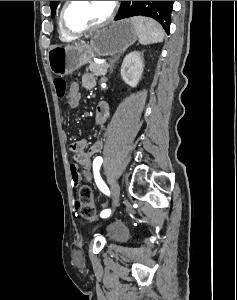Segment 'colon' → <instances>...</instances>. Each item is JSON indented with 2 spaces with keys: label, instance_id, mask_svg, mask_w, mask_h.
Returning <instances> with one entry per match:
<instances>
[{
  "label": "colon",
  "instance_id": "1",
  "mask_svg": "<svg viewBox=\"0 0 237 300\" xmlns=\"http://www.w3.org/2000/svg\"><path fill=\"white\" fill-rule=\"evenodd\" d=\"M54 86L56 94L59 98H64L67 100L68 104L72 108H76L79 105L80 94L71 95L69 93L67 82L62 78H56L54 80ZM72 184L74 186L79 185V180L77 175L72 176ZM79 206L80 213L85 219H92L95 216V208L93 205V193L92 189L83 185L79 189Z\"/></svg>",
  "mask_w": 237,
  "mask_h": 300
}]
</instances>
